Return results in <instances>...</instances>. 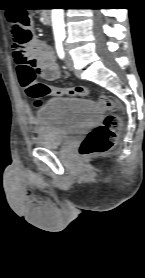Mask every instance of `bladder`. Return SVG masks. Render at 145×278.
Listing matches in <instances>:
<instances>
[{
  "mask_svg": "<svg viewBox=\"0 0 145 278\" xmlns=\"http://www.w3.org/2000/svg\"><path fill=\"white\" fill-rule=\"evenodd\" d=\"M100 118L96 102L75 97H53L46 100L36 112L37 126L33 145L56 150L72 137L94 126Z\"/></svg>",
  "mask_w": 145,
  "mask_h": 278,
  "instance_id": "obj_1",
  "label": "bladder"
}]
</instances>
